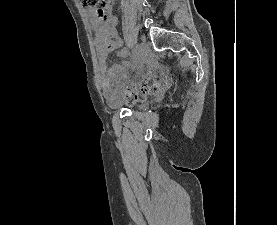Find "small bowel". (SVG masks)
Returning <instances> with one entry per match:
<instances>
[{"label": "small bowel", "mask_w": 277, "mask_h": 225, "mask_svg": "<svg viewBox=\"0 0 277 225\" xmlns=\"http://www.w3.org/2000/svg\"><path fill=\"white\" fill-rule=\"evenodd\" d=\"M92 21L95 35V46L98 54V72L99 82L106 96L119 94L120 91L128 84L134 82V79L141 75L140 68L133 62L122 61L111 65L107 63L106 44L113 41L117 48H120L119 55L126 58L129 52L123 47L122 41L115 32L117 18L107 8V14L103 17L96 16L94 11L88 12ZM149 77H153L152 74ZM163 82H168L166 75L162 76Z\"/></svg>", "instance_id": "c3829d8e"}]
</instances>
